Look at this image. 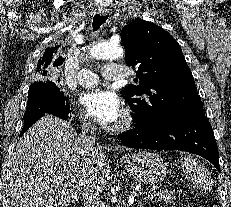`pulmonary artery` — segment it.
Wrapping results in <instances>:
<instances>
[{
	"mask_svg": "<svg viewBox=\"0 0 231 207\" xmlns=\"http://www.w3.org/2000/svg\"><path fill=\"white\" fill-rule=\"evenodd\" d=\"M101 73L107 80H121L128 77L125 68L119 64L104 65ZM77 81L81 86L91 87L98 83L99 77L94 71L83 68L78 74Z\"/></svg>",
	"mask_w": 231,
	"mask_h": 207,
	"instance_id": "obj_1",
	"label": "pulmonary artery"
}]
</instances>
